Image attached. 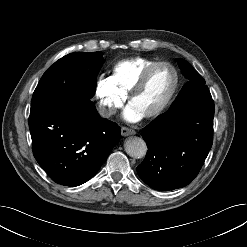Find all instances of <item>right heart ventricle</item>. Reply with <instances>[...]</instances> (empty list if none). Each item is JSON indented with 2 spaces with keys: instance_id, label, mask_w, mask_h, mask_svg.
<instances>
[{
  "instance_id": "right-heart-ventricle-1",
  "label": "right heart ventricle",
  "mask_w": 247,
  "mask_h": 247,
  "mask_svg": "<svg viewBox=\"0 0 247 247\" xmlns=\"http://www.w3.org/2000/svg\"><path fill=\"white\" fill-rule=\"evenodd\" d=\"M154 62L153 59L141 56L120 60L113 65L108 78L112 86L126 97L142 71Z\"/></svg>"
}]
</instances>
